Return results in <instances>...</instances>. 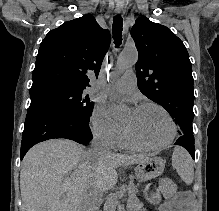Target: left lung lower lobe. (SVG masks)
<instances>
[{
  "label": "left lung lower lobe",
  "instance_id": "1",
  "mask_svg": "<svg viewBox=\"0 0 219 211\" xmlns=\"http://www.w3.org/2000/svg\"><path fill=\"white\" fill-rule=\"evenodd\" d=\"M187 149L193 159H195V148H194V136L193 135H182L178 138L175 143Z\"/></svg>",
  "mask_w": 219,
  "mask_h": 211
}]
</instances>
